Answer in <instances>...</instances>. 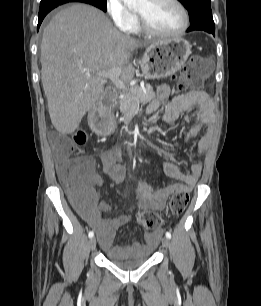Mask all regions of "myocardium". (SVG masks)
<instances>
[{
    "instance_id": "myocardium-1",
    "label": "myocardium",
    "mask_w": 261,
    "mask_h": 306,
    "mask_svg": "<svg viewBox=\"0 0 261 306\" xmlns=\"http://www.w3.org/2000/svg\"><path fill=\"white\" fill-rule=\"evenodd\" d=\"M170 2L174 3L178 7L182 15L181 26L176 31L169 33L158 31L149 24L143 15L136 12L137 23L140 29L148 35L162 38H174L184 34L190 25L189 12L181 0H170Z\"/></svg>"
}]
</instances>
